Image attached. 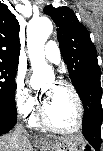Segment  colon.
Here are the masks:
<instances>
[{"label":"colon","instance_id":"1","mask_svg":"<svg viewBox=\"0 0 103 151\" xmlns=\"http://www.w3.org/2000/svg\"><path fill=\"white\" fill-rule=\"evenodd\" d=\"M84 151H91L90 148H84Z\"/></svg>","mask_w":103,"mask_h":151}]
</instances>
